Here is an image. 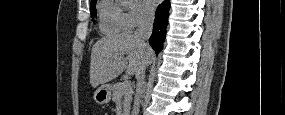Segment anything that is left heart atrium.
Returning <instances> with one entry per match:
<instances>
[{
  "instance_id": "obj_1",
  "label": "left heart atrium",
  "mask_w": 285,
  "mask_h": 115,
  "mask_svg": "<svg viewBox=\"0 0 285 115\" xmlns=\"http://www.w3.org/2000/svg\"><path fill=\"white\" fill-rule=\"evenodd\" d=\"M144 3H145L146 8L152 11L156 6L157 1L156 0H145Z\"/></svg>"
}]
</instances>
